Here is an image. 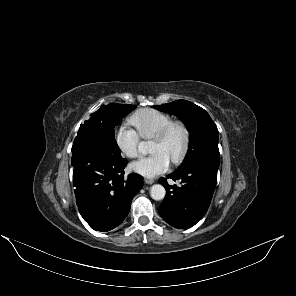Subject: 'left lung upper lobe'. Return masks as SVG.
I'll list each match as a JSON object with an SVG mask.
<instances>
[{"mask_svg":"<svg viewBox=\"0 0 296 296\" xmlns=\"http://www.w3.org/2000/svg\"><path fill=\"white\" fill-rule=\"evenodd\" d=\"M153 107L179 116L184 120L190 131L188 151L183 163L177 170L200 159L220 156L217 126L203 108L186 100H177Z\"/></svg>","mask_w":296,"mask_h":296,"instance_id":"1","label":"left lung upper lobe"}]
</instances>
